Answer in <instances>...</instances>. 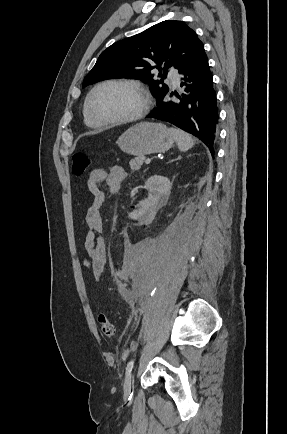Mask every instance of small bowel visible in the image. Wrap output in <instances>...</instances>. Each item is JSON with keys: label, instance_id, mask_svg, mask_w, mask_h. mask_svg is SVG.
I'll return each instance as SVG.
<instances>
[{"label": "small bowel", "instance_id": "c3829d8e", "mask_svg": "<svg viewBox=\"0 0 287 434\" xmlns=\"http://www.w3.org/2000/svg\"><path fill=\"white\" fill-rule=\"evenodd\" d=\"M126 177L124 169L120 166H112L109 169L96 168L91 171L87 187L93 201L85 213V223L88 231L84 239L86 258L84 266L89 268L96 276H99L105 267L107 259L106 246L102 238L104 225L101 216V209L106 199V193L101 188L105 183L111 193H117Z\"/></svg>", "mask_w": 287, "mask_h": 434}]
</instances>
